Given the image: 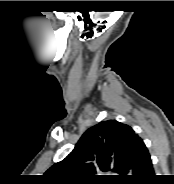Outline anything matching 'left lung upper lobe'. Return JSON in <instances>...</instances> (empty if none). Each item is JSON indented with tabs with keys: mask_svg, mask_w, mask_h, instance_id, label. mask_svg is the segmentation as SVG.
<instances>
[{
	"mask_svg": "<svg viewBox=\"0 0 174 184\" xmlns=\"http://www.w3.org/2000/svg\"><path fill=\"white\" fill-rule=\"evenodd\" d=\"M141 138L116 120L101 121L89 128L74 150L45 174L55 184H97L102 179L123 180L133 150ZM119 176H99L111 170Z\"/></svg>",
	"mask_w": 174,
	"mask_h": 184,
	"instance_id": "left-lung-upper-lobe-1",
	"label": "left lung upper lobe"
}]
</instances>
